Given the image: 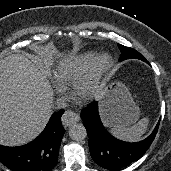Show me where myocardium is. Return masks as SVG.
Listing matches in <instances>:
<instances>
[{
	"instance_id": "myocardium-1",
	"label": "myocardium",
	"mask_w": 171,
	"mask_h": 171,
	"mask_svg": "<svg viewBox=\"0 0 171 171\" xmlns=\"http://www.w3.org/2000/svg\"><path fill=\"white\" fill-rule=\"evenodd\" d=\"M113 59L108 53L94 57L90 66L72 83L71 95L79 104H88L96 100L102 92V79L111 68Z\"/></svg>"
}]
</instances>
